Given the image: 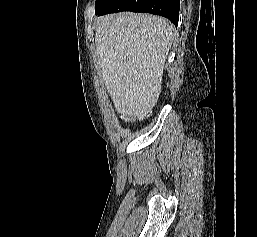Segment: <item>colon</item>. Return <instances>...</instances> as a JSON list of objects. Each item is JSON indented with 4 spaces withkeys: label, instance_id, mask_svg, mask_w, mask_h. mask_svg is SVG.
I'll return each mask as SVG.
<instances>
[{
    "label": "colon",
    "instance_id": "obj_1",
    "mask_svg": "<svg viewBox=\"0 0 257 237\" xmlns=\"http://www.w3.org/2000/svg\"><path fill=\"white\" fill-rule=\"evenodd\" d=\"M131 119H132L131 116H125V117H123V121H125V122H129V121H131Z\"/></svg>",
    "mask_w": 257,
    "mask_h": 237
}]
</instances>
